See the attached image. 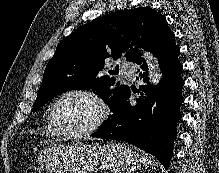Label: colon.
I'll list each match as a JSON object with an SVG mask.
<instances>
[{"instance_id": "5ec220e1", "label": "colon", "mask_w": 219, "mask_h": 173, "mask_svg": "<svg viewBox=\"0 0 219 173\" xmlns=\"http://www.w3.org/2000/svg\"><path fill=\"white\" fill-rule=\"evenodd\" d=\"M26 173H40L36 167H30L27 169Z\"/></svg>"}]
</instances>
